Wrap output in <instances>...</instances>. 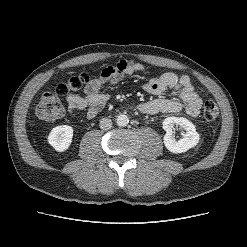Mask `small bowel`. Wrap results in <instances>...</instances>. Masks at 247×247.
I'll use <instances>...</instances> for the list:
<instances>
[{
	"label": "small bowel",
	"instance_id": "1",
	"mask_svg": "<svg viewBox=\"0 0 247 247\" xmlns=\"http://www.w3.org/2000/svg\"><path fill=\"white\" fill-rule=\"evenodd\" d=\"M145 71L144 65L126 60L104 68L97 78L87 84L83 95L70 93L66 96L68 111L74 113L86 109L88 118L95 117L109 99L107 94L102 93V88L105 84L115 85L125 76ZM143 89L149 94L157 96L171 91L177 93L180 98L160 97L140 103L137 109L143 114L178 113L183 109L193 117L200 113L202 99L195 91L188 76H179L174 72H166L157 78L149 80L143 85Z\"/></svg>",
	"mask_w": 247,
	"mask_h": 247
}]
</instances>
